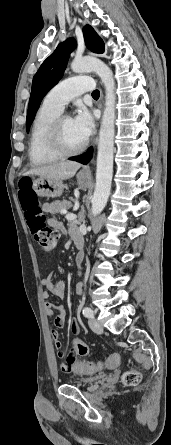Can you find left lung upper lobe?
Instances as JSON below:
<instances>
[{
	"instance_id": "5c2ea615",
	"label": "left lung upper lobe",
	"mask_w": 171,
	"mask_h": 445,
	"mask_svg": "<svg viewBox=\"0 0 171 445\" xmlns=\"http://www.w3.org/2000/svg\"><path fill=\"white\" fill-rule=\"evenodd\" d=\"M83 34L85 43L92 52L98 54L104 53V42L91 26L86 25L83 28ZM75 47L76 42L74 39H68L60 43L56 50L42 63L39 70L33 77L32 90L26 118L27 132H29L30 125L34 120L35 114L43 97L62 78L70 53Z\"/></svg>"
}]
</instances>
